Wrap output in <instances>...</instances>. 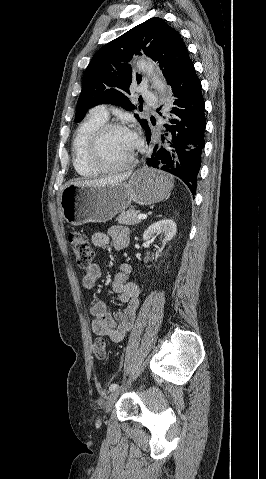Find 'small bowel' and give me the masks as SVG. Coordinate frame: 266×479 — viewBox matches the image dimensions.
I'll return each mask as SVG.
<instances>
[{
	"label": "small bowel",
	"instance_id": "1",
	"mask_svg": "<svg viewBox=\"0 0 266 479\" xmlns=\"http://www.w3.org/2000/svg\"><path fill=\"white\" fill-rule=\"evenodd\" d=\"M128 233L127 227L114 226L108 233L95 232L91 240L96 247H104L112 242L116 250H121L129 243ZM131 271L129 264H121L112 281V289L117 295L118 303L123 306L122 309L110 312L101 300L91 302L89 307L93 316L92 332L98 336H108L113 342L122 341L125 334L131 330L139 306L140 289L135 282L129 280ZM101 274L100 266L93 264L82 278L84 288L93 289Z\"/></svg>",
	"mask_w": 266,
	"mask_h": 479
}]
</instances>
